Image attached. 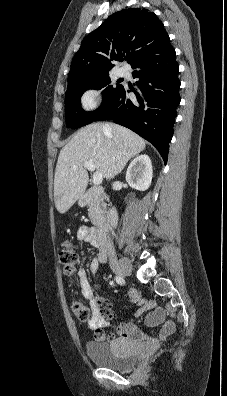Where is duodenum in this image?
<instances>
[{
	"instance_id": "duodenum-1",
	"label": "duodenum",
	"mask_w": 227,
	"mask_h": 396,
	"mask_svg": "<svg viewBox=\"0 0 227 396\" xmlns=\"http://www.w3.org/2000/svg\"><path fill=\"white\" fill-rule=\"evenodd\" d=\"M107 201L108 196L101 187L88 189L79 199L80 205H87L93 201ZM118 214L115 207H110L104 221L94 231L93 239L97 247L104 249L107 244L109 231L117 225Z\"/></svg>"
}]
</instances>
